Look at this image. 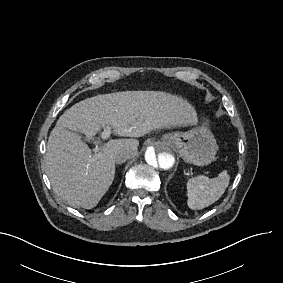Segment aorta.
Masks as SVG:
<instances>
[{"instance_id": "aorta-1", "label": "aorta", "mask_w": 283, "mask_h": 283, "mask_svg": "<svg viewBox=\"0 0 283 283\" xmlns=\"http://www.w3.org/2000/svg\"><path fill=\"white\" fill-rule=\"evenodd\" d=\"M145 161L150 171L156 175H164L174 168L176 157L168 143L154 141L146 149Z\"/></svg>"}]
</instances>
